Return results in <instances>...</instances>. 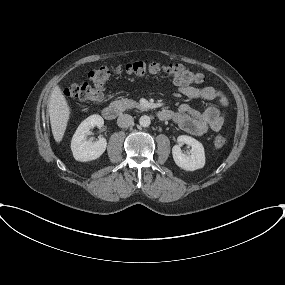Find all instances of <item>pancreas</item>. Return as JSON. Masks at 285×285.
<instances>
[{"label":"pancreas","mask_w":285,"mask_h":285,"mask_svg":"<svg viewBox=\"0 0 285 285\" xmlns=\"http://www.w3.org/2000/svg\"><path fill=\"white\" fill-rule=\"evenodd\" d=\"M117 108L120 110L131 109V108H142V106L134 100L131 99H120L114 102Z\"/></svg>","instance_id":"1"}]
</instances>
